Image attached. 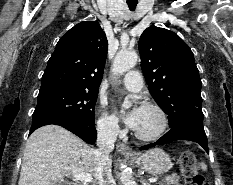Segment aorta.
<instances>
[{"instance_id":"aorta-1","label":"aorta","mask_w":233,"mask_h":185,"mask_svg":"<svg viewBox=\"0 0 233 185\" xmlns=\"http://www.w3.org/2000/svg\"><path fill=\"white\" fill-rule=\"evenodd\" d=\"M138 61V55L134 51H119L112 64V72L115 75H122L132 69ZM131 107V102L125 100L122 104V112ZM120 180L122 185H136L132 173L125 167L121 169Z\"/></svg>"}]
</instances>
